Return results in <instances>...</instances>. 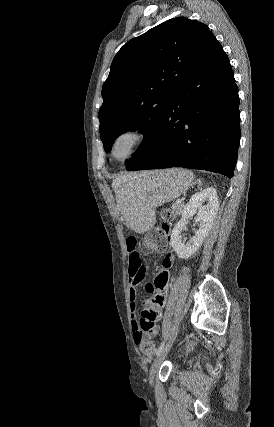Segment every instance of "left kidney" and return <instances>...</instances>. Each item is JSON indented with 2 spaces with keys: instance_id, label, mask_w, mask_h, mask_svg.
I'll return each instance as SVG.
<instances>
[{
  "instance_id": "1",
  "label": "left kidney",
  "mask_w": 274,
  "mask_h": 427,
  "mask_svg": "<svg viewBox=\"0 0 274 427\" xmlns=\"http://www.w3.org/2000/svg\"><path fill=\"white\" fill-rule=\"evenodd\" d=\"M204 202H208L207 206H203ZM218 208V194L215 188H205L192 196L190 202L184 206L182 217L174 225L171 233L170 243L178 257L188 259L199 249L204 237L208 235L212 227ZM194 214H197L196 221H199V229H194L193 237H190L189 241L185 243L186 239H182L181 235L182 229L185 227L187 219Z\"/></svg>"
}]
</instances>
